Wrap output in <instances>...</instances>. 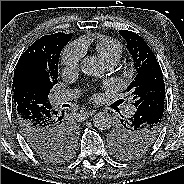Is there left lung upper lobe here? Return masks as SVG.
<instances>
[{
	"mask_svg": "<svg viewBox=\"0 0 184 184\" xmlns=\"http://www.w3.org/2000/svg\"><path fill=\"white\" fill-rule=\"evenodd\" d=\"M127 41L137 75L130 83L127 92L132 96L135 107L156 95H165L163 74L156 56L138 34L120 30ZM162 121L153 124L134 126L129 120H120L109 133L113 152L121 159H132L145 153L155 142Z\"/></svg>",
	"mask_w": 184,
	"mask_h": 184,
	"instance_id": "obj_1",
	"label": "left lung upper lobe"
}]
</instances>
